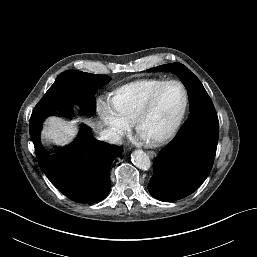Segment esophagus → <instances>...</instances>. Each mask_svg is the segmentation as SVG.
Here are the masks:
<instances>
[{
	"label": "esophagus",
	"mask_w": 257,
	"mask_h": 257,
	"mask_svg": "<svg viewBox=\"0 0 257 257\" xmlns=\"http://www.w3.org/2000/svg\"><path fill=\"white\" fill-rule=\"evenodd\" d=\"M147 154L149 155V157L153 158L156 156L154 151H147Z\"/></svg>",
	"instance_id": "esophagus-1"
}]
</instances>
